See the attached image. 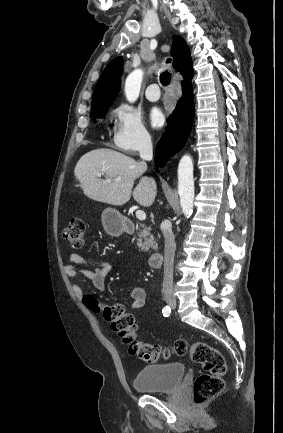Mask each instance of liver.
I'll return each mask as SVG.
<instances>
[{
  "mask_svg": "<svg viewBox=\"0 0 283 433\" xmlns=\"http://www.w3.org/2000/svg\"><path fill=\"white\" fill-rule=\"evenodd\" d=\"M147 170L144 160H134L112 148H96L79 158L74 174L84 194L109 204H125L133 196L142 206H151L156 196L153 178L142 176L133 188L136 178ZM97 172H104L105 178H98ZM121 176V180H115ZM133 188V190H132Z\"/></svg>",
  "mask_w": 283,
  "mask_h": 433,
  "instance_id": "liver-1",
  "label": "liver"
}]
</instances>
